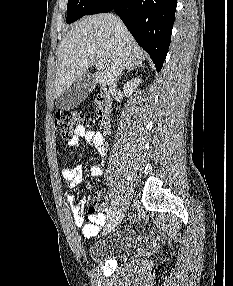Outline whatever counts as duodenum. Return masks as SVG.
<instances>
[{"label": "duodenum", "mask_w": 233, "mask_h": 286, "mask_svg": "<svg viewBox=\"0 0 233 286\" xmlns=\"http://www.w3.org/2000/svg\"><path fill=\"white\" fill-rule=\"evenodd\" d=\"M111 102L106 91H101L96 97V116L100 127L108 131L110 128Z\"/></svg>", "instance_id": "obj_1"}]
</instances>
